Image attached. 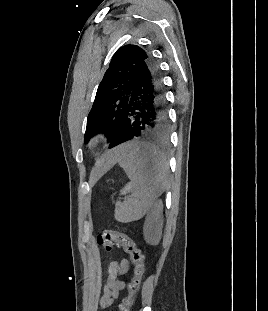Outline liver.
Here are the masks:
<instances>
[{"label": "liver", "mask_w": 268, "mask_h": 311, "mask_svg": "<svg viewBox=\"0 0 268 311\" xmlns=\"http://www.w3.org/2000/svg\"><path fill=\"white\" fill-rule=\"evenodd\" d=\"M118 150L119 148L109 151L95 166L93 173L100 174L111 168L117 161Z\"/></svg>", "instance_id": "liver-1"}]
</instances>
